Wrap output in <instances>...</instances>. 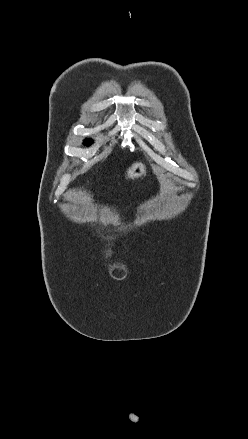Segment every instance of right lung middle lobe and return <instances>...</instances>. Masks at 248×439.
Segmentation results:
<instances>
[{
    "mask_svg": "<svg viewBox=\"0 0 248 439\" xmlns=\"http://www.w3.org/2000/svg\"><path fill=\"white\" fill-rule=\"evenodd\" d=\"M85 145H91L92 144V140L91 139H86L84 142Z\"/></svg>",
    "mask_w": 248,
    "mask_h": 439,
    "instance_id": "obj_1",
    "label": "right lung middle lobe"
}]
</instances>
